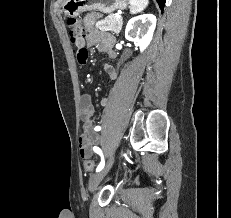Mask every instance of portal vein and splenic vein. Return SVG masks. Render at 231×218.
Instances as JSON below:
<instances>
[{
  "mask_svg": "<svg viewBox=\"0 0 231 218\" xmlns=\"http://www.w3.org/2000/svg\"><path fill=\"white\" fill-rule=\"evenodd\" d=\"M115 16H116V18H121V16L119 14H116Z\"/></svg>",
  "mask_w": 231,
  "mask_h": 218,
  "instance_id": "obj_1",
  "label": "portal vein and splenic vein"
}]
</instances>
